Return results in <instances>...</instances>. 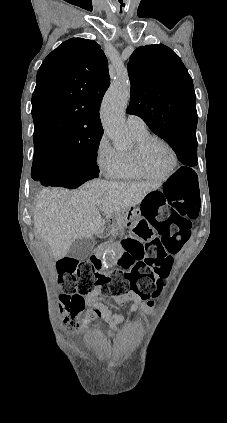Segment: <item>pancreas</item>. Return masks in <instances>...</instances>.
I'll use <instances>...</instances> for the list:
<instances>
[{
	"mask_svg": "<svg viewBox=\"0 0 227 423\" xmlns=\"http://www.w3.org/2000/svg\"><path fill=\"white\" fill-rule=\"evenodd\" d=\"M118 215H119V213H118ZM118 215H117V219L119 221ZM123 229H124V225H123V223H121V221H119L118 225H116V227H115V231H123Z\"/></svg>",
	"mask_w": 227,
	"mask_h": 423,
	"instance_id": "cf45deb5",
	"label": "pancreas"
}]
</instances>
